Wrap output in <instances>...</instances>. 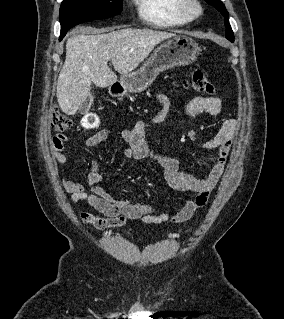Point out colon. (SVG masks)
<instances>
[{
	"mask_svg": "<svg viewBox=\"0 0 284 319\" xmlns=\"http://www.w3.org/2000/svg\"><path fill=\"white\" fill-rule=\"evenodd\" d=\"M186 85L193 88L195 91L205 94V95H213L215 93V88L212 83L206 77L205 72L197 67L194 68L190 74L189 79L186 82ZM72 125V120L55 111L51 117V126L58 132H63L70 128Z\"/></svg>",
	"mask_w": 284,
	"mask_h": 319,
	"instance_id": "colon-1",
	"label": "colon"
}]
</instances>
